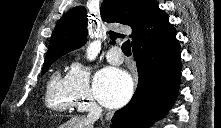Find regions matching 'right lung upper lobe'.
Here are the masks:
<instances>
[{
	"label": "right lung upper lobe",
	"instance_id": "obj_1",
	"mask_svg": "<svg viewBox=\"0 0 221 128\" xmlns=\"http://www.w3.org/2000/svg\"><path fill=\"white\" fill-rule=\"evenodd\" d=\"M101 16L106 22H119L132 28V47H155L166 44L176 31L168 15L155 0H104ZM112 39L120 34L109 32ZM87 41V11L77 6L66 12L57 23L48 47L46 60L80 48Z\"/></svg>",
	"mask_w": 221,
	"mask_h": 128
}]
</instances>
